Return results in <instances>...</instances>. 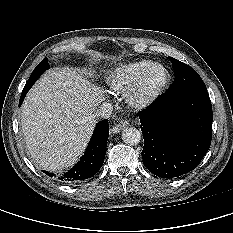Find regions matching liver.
<instances>
[{"mask_svg":"<svg viewBox=\"0 0 233 233\" xmlns=\"http://www.w3.org/2000/svg\"><path fill=\"white\" fill-rule=\"evenodd\" d=\"M104 98L72 68L47 71L22 105L21 126L31 160L53 172L73 165L86 149Z\"/></svg>","mask_w":233,"mask_h":233,"instance_id":"6515ba94","label":"liver"}]
</instances>
